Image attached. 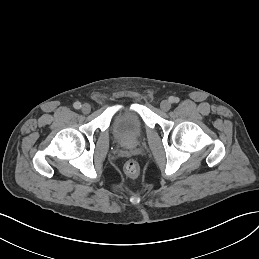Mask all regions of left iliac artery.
<instances>
[{"mask_svg": "<svg viewBox=\"0 0 259 259\" xmlns=\"http://www.w3.org/2000/svg\"><path fill=\"white\" fill-rule=\"evenodd\" d=\"M169 101H170L171 103H178V102H179V98L172 96V97L169 98Z\"/></svg>", "mask_w": 259, "mask_h": 259, "instance_id": "1", "label": "left iliac artery"}]
</instances>
